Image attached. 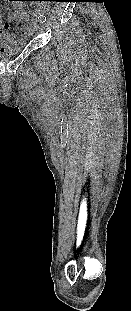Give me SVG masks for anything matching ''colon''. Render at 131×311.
I'll return each instance as SVG.
<instances>
[{
  "label": "colon",
  "instance_id": "obj_1",
  "mask_svg": "<svg viewBox=\"0 0 131 311\" xmlns=\"http://www.w3.org/2000/svg\"><path fill=\"white\" fill-rule=\"evenodd\" d=\"M30 27V25L29 24H25V25H23V28H29Z\"/></svg>",
  "mask_w": 131,
  "mask_h": 311
}]
</instances>
